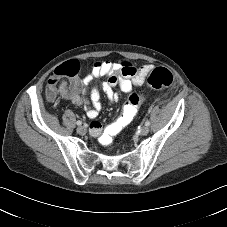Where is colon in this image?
I'll use <instances>...</instances> for the list:
<instances>
[{"mask_svg":"<svg viewBox=\"0 0 227 227\" xmlns=\"http://www.w3.org/2000/svg\"><path fill=\"white\" fill-rule=\"evenodd\" d=\"M78 74V63L75 61L67 62L61 69L57 71L55 78L50 77L48 80L47 95L49 97H54L56 94V88L60 84L73 86L77 81ZM128 74L135 75L137 74V71L131 70L128 72ZM173 82V73L164 67H159L152 70L147 78V84L149 88L153 90L169 87L173 84ZM69 93L71 94L72 92L70 91ZM143 101L144 96L142 94L132 93L129 95L123 107L122 113L117 117L115 122L105 130V132L99 134L100 142L103 145H109L115 142L118 133L125 128L137 115Z\"/></svg>","mask_w":227,"mask_h":227,"instance_id":"obj_1","label":"colon"}]
</instances>
